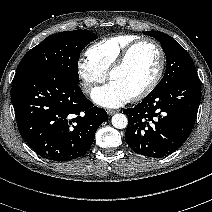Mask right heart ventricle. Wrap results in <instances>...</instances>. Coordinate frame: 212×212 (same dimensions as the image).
Here are the masks:
<instances>
[{
    "label": "right heart ventricle",
    "mask_w": 212,
    "mask_h": 212,
    "mask_svg": "<svg viewBox=\"0 0 212 212\" xmlns=\"http://www.w3.org/2000/svg\"><path fill=\"white\" fill-rule=\"evenodd\" d=\"M137 39L139 37L133 34H118L104 38L87 49V58L101 71L108 73L123 50Z\"/></svg>",
    "instance_id": "e07e8e85"
}]
</instances>
